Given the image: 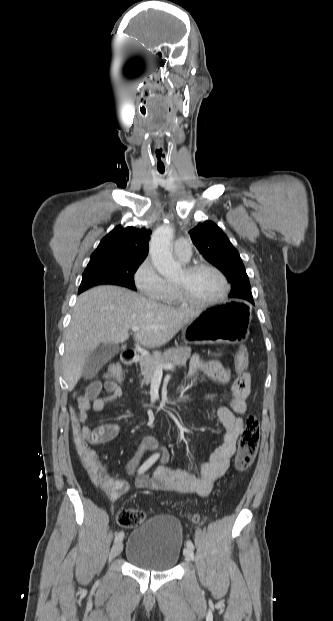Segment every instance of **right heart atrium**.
Here are the masks:
<instances>
[{
	"label": "right heart atrium",
	"instance_id": "d8ad5b80",
	"mask_svg": "<svg viewBox=\"0 0 333 621\" xmlns=\"http://www.w3.org/2000/svg\"><path fill=\"white\" fill-rule=\"evenodd\" d=\"M134 282L141 293L153 300H161L167 288V282L158 274L150 259L140 264Z\"/></svg>",
	"mask_w": 333,
	"mask_h": 621
}]
</instances>
